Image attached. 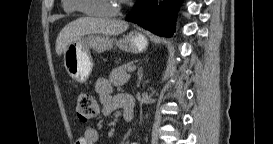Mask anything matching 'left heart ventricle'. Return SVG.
Here are the masks:
<instances>
[{
    "label": "left heart ventricle",
    "mask_w": 273,
    "mask_h": 144,
    "mask_svg": "<svg viewBox=\"0 0 273 144\" xmlns=\"http://www.w3.org/2000/svg\"><path fill=\"white\" fill-rule=\"evenodd\" d=\"M84 5L93 10H112L117 5V0H85Z\"/></svg>",
    "instance_id": "left-heart-ventricle-1"
}]
</instances>
